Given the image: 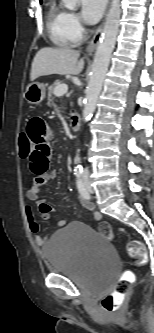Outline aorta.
Masks as SVG:
<instances>
[{"label": "aorta", "instance_id": "1", "mask_svg": "<svg viewBox=\"0 0 154 333\" xmlns=\"http://www.w3.org/2000/svg\"><path fill=\"white\" fill-rule=\"evenodd\" d=\"M62 1L67 9L75 11L77 9L79 0ZM120 16V0H112L111 8L108 12L103 33L100 38V43L97 47L92 65V72L86 91L85 104L83 109L84 121L90 120L95 111L98 97L102 90L111 54L116 41V36L120 24ZM78 167H80V165Z\"/></svg>", "mask_w": 154, "mask_h": 333}]
</instances>
